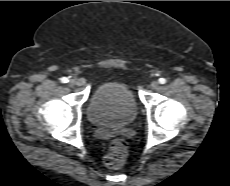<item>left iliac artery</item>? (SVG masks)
Segmentation results:
<instances>
[{
  "label": "left iliac artery",
  "mask_w": 230,
  "mask_h": 186,
  "mask_svg": "<svg viewBox=\"0 0 230 186\" xmlns=\"http://www.w3.org/2000/svg\"><path fill=\"white\" fill-rule=\"evenodd\" d=\"M159 83L160 84H165L166 83V79L165 78H160L159 79Z\"/></svg>",
  "instance_id": "1"
}]
</instances>
